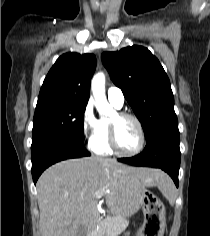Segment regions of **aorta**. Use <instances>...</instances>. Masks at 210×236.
<instances>
[{"mask_svg": "<svg viewBox=\"0 0 210 236\" xmlns=\"http://www.w3.org/2000/svg\"><path fill=\"white\" fill-rule=\"evenodd\" d=\"M91 90L95 99V106L99 114L111 116L115 113L112 107L108 104L105 95V75L99 72L94 75L91 81Z\"/></svg>", "mask_w": 210, "mask_h": 236, "instance_id": "1", "label": "aorta"}]
</instances>
